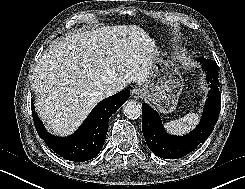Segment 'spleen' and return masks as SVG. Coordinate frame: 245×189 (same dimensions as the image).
Listing matches in <instances>:
<instances>
[{
  "instance_id": "obj_1",
  "label": "spleen",
  "mask_w": 245,
  "mask_h": 189,
  "mask_svg": "<svg viewBox=\"0 0 245 189\" xmlns=\"http://www.w3.org/2000/svg\"><path fill=\"white\" fill-rule=\"evenodd\" d=\"M199 117L197 113H189L184 117L167 122L165 127L174 134H184L197 125Z\"/></svg>"
}]
</instances>
